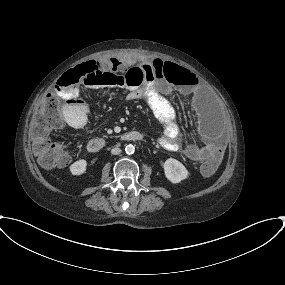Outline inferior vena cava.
Returning a JSON list of instances; mask_svg holds the SVG:
<instances>
[{
    "mask_svg": "<svg viewBox=\"0 0 285 285\" xmlns=\"http://www.w3.org/2000/svg\"><path fill=\"white\" fill-rule=\"evenodd\" d=\"M111 153H112L113 155H118V154L121 153V149H120V148H113V149L111 150Z\"/></svg>",
    "mask_w": 285,
    "mask_h": 285,
    "instance_id": "inferior-vena-cava-1",
    "label": "inferior vena cava"
}]
</instances>
